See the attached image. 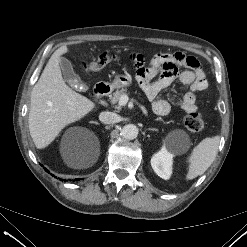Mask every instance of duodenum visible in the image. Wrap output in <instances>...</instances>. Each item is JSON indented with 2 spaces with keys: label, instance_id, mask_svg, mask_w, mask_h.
Returning a JSON list of instances; mask_svg holds the SVG:
<instances>
[{
  "label": "duodenum",
  "instance_id": "410a0bca",
  "mask_svg": "<svg viewBox=\"0 0 247 247\" xmlns=\"http://www.w3.org/2000/svg\"><path fill=\"white\" fill-rule=\"evenodd\" d=\"M110 91H111V86L106 83L97 84L94 88V94L97 98H101L109 94Z\"/></svg>",
  "mask_w": 247,
  "mask_h": 247
}]
</instances>
